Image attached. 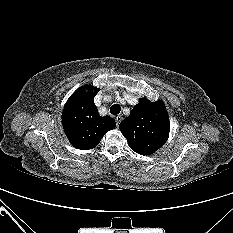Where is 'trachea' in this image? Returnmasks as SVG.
Returning a JSON list of instances; mask_svg holds the SVG:
<instances>
[{
  "label": "trachea",
  "instance_id": "3493384b",
  "mask_svg": "<svg viewBox=\"0 0 233 233\" xmlns=\"http://www.w3.org/2000/svg\"><path fill=\"white\" fill-rule=\"evenodd\" d=\"M121 111V107L119 104H114L111 106L110 108V113L113 114V115H117L119 114Z\"/></svg>",
  "mask_w": 233,
  "mask_h": 233
}]
</instances>
